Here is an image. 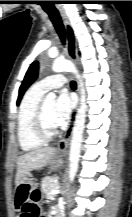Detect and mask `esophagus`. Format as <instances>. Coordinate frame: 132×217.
Wrapping results in <instances>:
<instances>
[{"instance_id":"1","label":"esophagus","mask_w":132,"mask_h":217,"mask_svg":"<svg viewBox=\"0 0 132 217\" xmlns=\"http://www.w3.org/2000/svg\"><path fill=\"white\" fill-rule=\"evenodd\" d=\"M62 18H63L65 29H66L69 56L72 62L77 66L79 60H78L75 32H74V29L67 15L62 14ZM77 91L79 92V85H78ZM74 119H75V114L73 115L71 119V123L69 124L63 136V139L58 147V153L61 155H67V149H68L69 141L71 139V135L73 131Z\"/></svg>"}]
</instances>
